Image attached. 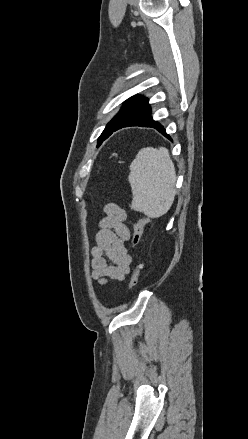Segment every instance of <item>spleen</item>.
Wrapping results in <instances>:
<instances>
[{
	"label": "spleen",
	"mask_w": 248,
	"mask_h": 439,
	"mask_svg": "<svg viewBox=\"0 0 248 439\" xmlns=\"http://www.w3.org/2000/svg\"><path fill=\"white\" fill-rule=\"evenodd\" d=\"M128 181L133 195L132 209L151 218L169 211L176 194V171L166 148L141 149L130 165Z\"/></svg>",
	"instance_id": "spleen-1"
}]
</instances>
